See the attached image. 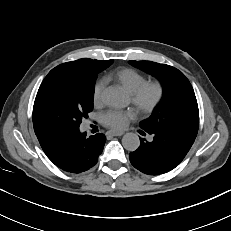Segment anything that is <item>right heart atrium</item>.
I'll list each match as a JSON object with an SVG mask.
<instances>
[{
  "instance_id": "obj_1",
  "label": "right heart atrium",
  "mask_w": 231,
  "mask_h": 231,
  "mask_svg": "<svg viewBox=\"0 0 231 231\" xmlns=\"http://www.w3.org/2000/svg\"><path fill=\"white\" fill-rule=\"evenodd\" d=\"M104 88H105L104 80H100L96 82V84L94 85L93 94H92L94 104H99L102 101Z\"/></svg>"
}]
</instances>
